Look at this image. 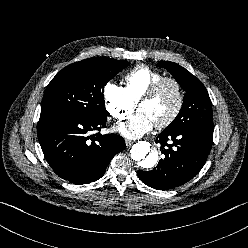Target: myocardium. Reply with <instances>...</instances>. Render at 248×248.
I'll return each instance as SVG.
<instances>
[{
    "label": "myocardium",
    "mask_w": 248,
    "mask_h": 248,
    "mask_svg": "<svg viewBox=\"0 0 248 248\" xmlns=\"http://www.w3.org/2000/svg\"><path fill=\"white\" fill-rule=\"evenodd\" d=\"M166 82H170L175 86V89H176V92H177V105H176L174 111L170 114L169 117H167L164 121H162V122H160L158 124H155V127L157 129H163V128H166L169 125H171L177 119V117L180 115V113H181V111L183 109V106H184V91H183V88H182L180 82L174 77L163 76V77L159 78L158 80H156L146 90V92L141 96V98L137 102V106L139 107V105L142 104L143 102H146V101L150 100L151 98H153L154 95L160 89V87Z\"/></svg>",
    "instance_id": "f54148a6"
}]
</instances>
